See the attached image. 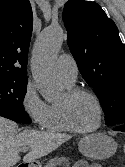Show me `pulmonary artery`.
<instances>
[{"mask_svg": "<svg viewBox=\"0 0 125 167\" xmlns=\"http://www.w3.org/2000/svg\"><path fill=\"white\" fill-rule=\"evenodd\" d=\"M57 69L64 82L69 84L75 83L78 76V67L71 55L61 54L57 60Z\"/></svg>", "mask_w": 125, "mask_h": 167, "instance_id": "obj_1", "label": "pulmonary artery"}]
</instances>
